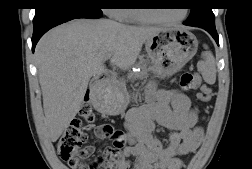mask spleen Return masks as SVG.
Wrapping results in <instances>:
<instances>
[{
    "label": "spleen",
    "mask_w": 252,
    "mask_h": 169,
    "mask_svg": "<svg viewBox=\"0 0 252 169\" xmlns=\"http://www.w3.org/2000/svg\"><path fill=\"white\" fill-rule=\"evenodd\" d=\"M207 49V46H204ZM198 71L202 74L204 81L208 84H214L216 81V63L213 54L210 51L202 53V60L197 64Z\"/></svg>",
    "instance_id": "obj_1"
}]
</instances>
